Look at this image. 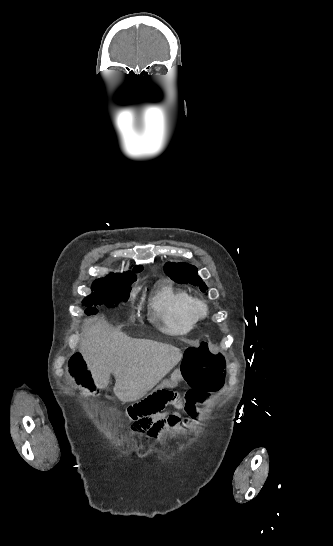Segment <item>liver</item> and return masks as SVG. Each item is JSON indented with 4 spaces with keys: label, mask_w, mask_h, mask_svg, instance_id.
Returning a JSON list of instances; mask_svg holds the SVG:
<instances>
[{
    "label": "liver",
    "mask_w": 333,
    "mask_h": 546,
    "mask_svg": "<svg viewBox=\"0 0 333 546\" xmlns=\"http://www.w3.org/2000/svg\"><path fill=\"white\" fill-rule=\"evenodd\" d=\"M80 353L95 387L106 388L112 373L113 392L123 402L142 398L183 356L177 347L110 331L104 321L85 323Z\"/></svg>",
    "instance_id": "1"
}]
</instances>
